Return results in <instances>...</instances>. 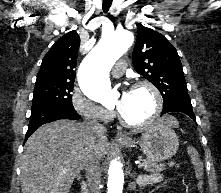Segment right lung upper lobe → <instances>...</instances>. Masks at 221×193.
Here are the masks:
<instances>
[{
    "label": "right lung upper lobe",
    "instance_id": "cb5924a9",
    "mask_svg": "<svg viewBox=\"0 0 221 193\" xmlns=\"http://www.w3.org/2000/svg\"><path fill=\"white\" fill-rule=\"evenodd\" d=\"M79 45L75 30L58 39L42 60L36 84L74 83Z\"/></svg>",
    "mask_w": 221,
    "mask_h": 193
}]
</instances>
